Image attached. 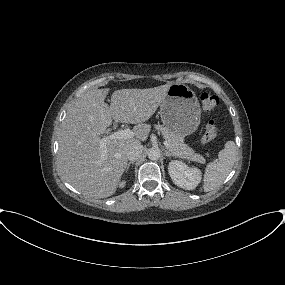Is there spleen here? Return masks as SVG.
Listing matches in <instances>:
<instances>
[{
	"instance_id": "3e777b00",
	"label": "spleen",
	"mask_w": 285,
	"mask_h": 285,
	"mask_svg": "<svg viewBox=\"0 0 285 285\" xmlns=\"http://www.w3.org/2000/svg\"><path fill=\"white\" fill-rule=\"evenodd\" d=\"M237 151L233 141H227L218 153V160L210 162L204 174L203 190L209 192L218 187L228 176L236 161Z\"/></svg>"
}]
</instances>
